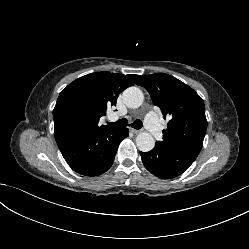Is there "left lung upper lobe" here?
Masks as SVG:
<instances>
[{
	"mask_svg": "<svg viewBox=\"0 0 249 249\" xmlns=\"http://www.w3.org/2000/svg\"><path fill=\"white\" fill-rule=\"evenodd\" d=\"M138 85L149 92L163 118L170 119L166 131L163 130V140L156 142V146L199 154L207 129L202 98L191 87L165 73L148 75Z\"/></svg>",
	"mask_w": 249,
	"mask_h": 249,
	"instance_id": "1",
	"label": "left lung upper lobe"
}]
</instances>
